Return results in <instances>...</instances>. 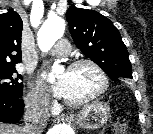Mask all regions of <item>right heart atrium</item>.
Here are the masks:
<instances>
[{"instance_id": "d8ad5b80", "label": "right heart atrium", "mask_w": 153, "mask_h": 134, "mask_svg": "<svg viewBox=\"0 0 153 134\" xmlns=\"http://www.w3.org/2000/svg\"><path fill=\"white\" fill-rule=\"evenodd\" d=\"M26 105L30 111L45 115L52 108V101L49 95L40 87L33 86L26 96Z\"/></svg>"}]
</instances>
